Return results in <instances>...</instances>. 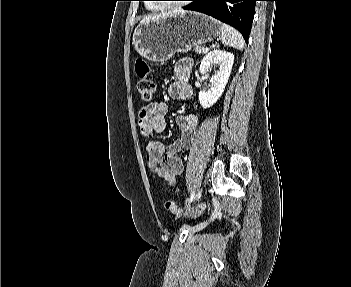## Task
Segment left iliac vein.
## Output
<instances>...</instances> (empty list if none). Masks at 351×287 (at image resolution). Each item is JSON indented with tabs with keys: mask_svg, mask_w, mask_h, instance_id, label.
I'll list each match as a JSON object with an SVG mask.
<instances>
[{
	"mask_svg": "<svg viewBox=\"0 0 351 287\" xmlns=\"http://www.w3.org/2000/svg\"><path fill=\"white\" fill-rule=\"evenodd\" d=\"M201 192H202V190H199V191H198V193H197V195H196V197H195V201H197V200L200 198Z\"/></svg>",
	"mask_w": 351,
	"mask_h": 287,
	"instance_id": "4c4485c4",
	"label": "left iliac vein"
}]
</instances>
